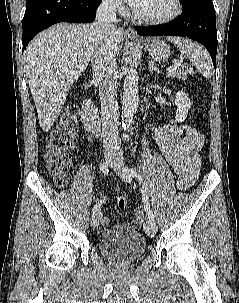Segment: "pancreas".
I'll return each instance as SVG.
<instances>
[{
  "label": "pancreas",
  "mask_w": 239,
  "mask_h": 303,
  "mask_svg": "<svg viewBox=\"0 0 239 303\" xmlns=\"http://www.w3.org/2000/svg\"><path fill=\"white\" fill-rule=\"evenodd\" d=\"M190 72L191 70L186 65L181 64L177 67V69H174L172 72H170L169 76L185 81L187 74Z\"/></svg>",
  "instance_id": "pancreas-1"
}]
</instances>
